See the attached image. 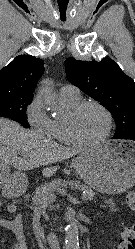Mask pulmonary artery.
<instances>
[{
    "mask_svg": "<svg viewBox=\"0 0 135 249\" xmlns=\"http://www.w3.org/2000/svg\"><path fill=\"white\" fill-rule=\"evenodd\" d=\"M60 96L77 99L80 98V90L71 84L63 85L59 90Z\"/></svg>",
    "mask_w": 135,
    "mask_h": 249,
    "instance_id": "obj_1",
    "label": "pulmonary artery"
}]
</instances>
